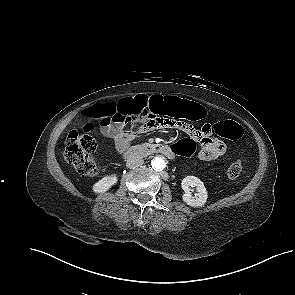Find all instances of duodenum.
<instances>
[{
	"instance_id": "duodenum-1",
	"label": "duodenum",
	"mask_w": 295,
	"mask_h": 295,
	"mask_svg": "<svg viewBox=\"0 0 295 295\" xmlns=\"http://www.w3.org/2000/svg\"><path fill=\"white\" fill-rule=\"evenodd\" d=\"M150 153H161L168 158H174L175 153L171 147L160 143H146L133 146L129 148L125 153V159H131L141 157Z\"/></svg>"
}]
</instances>
